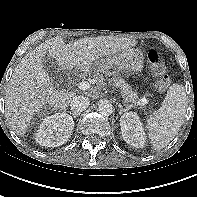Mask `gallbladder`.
I'll return each instance as SVG.
<instances>
[{
  "mask_svg": "<svg viewBox=\"0 0 197 197\" xmlns=\"http://www.w3.org/2000/svg\"><path fill=\"white\" fill-rule=\"evenodd\" d=\"M43 65H44V68L47 72H51L52 70H59L61 69V67L58 65L57 62H53L51 59H49L48 57H45L44 58V61H43ZM59 66V67H58Z\"/></svg>",
  "mask_w": 197,
  "mask_h": 197,
  "instance_id": "gallbladder-1",
  "label": "gallbladder"
}]
</instances>
